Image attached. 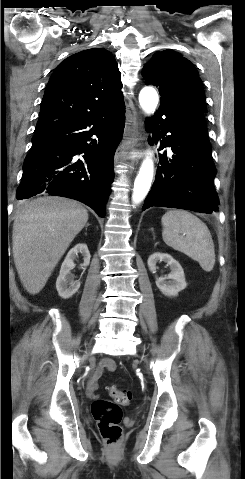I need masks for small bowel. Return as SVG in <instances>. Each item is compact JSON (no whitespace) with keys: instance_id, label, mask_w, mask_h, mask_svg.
<instances>
[{"instance_id":"1","label":"small bowel","mask_w":245,"mask_h":479,"mask_svg":"<svg viewBox=\"0 0 245 479\" xmlns=\"http://www.w3.org/2000/svg\"><path fill=\"white\" fill-rule=\"evenodd\" d=\"M116 368V363L112 359H104L100 366L96 369L94 375L90 378L87 383V393L91 398L97 396L96 392L98 389V380L107 370H114Z\"/></svg>"}]
</instances>
